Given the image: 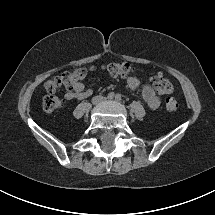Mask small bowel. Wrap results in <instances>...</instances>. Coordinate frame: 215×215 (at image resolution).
Listing matches in <instances>:
<instances>
[{
  "mask_svg": "<svg viewBox=\"0 0 215 215\" xmlns=\"http://www.w3.org/2000/svg\"><path fill=\"white\" fill-rule=\"evenodd\" d=\"M140 81L135 76H130L127 79V86L131 90H135L139 87ZM92 91L90 89H85L84 84L82 81L77 82L74 88L68 91L65 94V98L67 100L73 99H84L91 95ZM142 96L147 103L150 109H157L160 106V98L157 96L155 91L152 89L150 85H145L142 89Z\"/></svg>",
  "mask_w": 215,
  "mask_h": 215,
  "instance_id": "c3829d8e",
  "label": "small bowel"
}]
</instances>
